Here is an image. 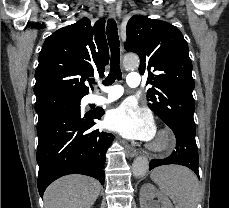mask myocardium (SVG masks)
Wrapping results in <instances>:
<instances>
[{
	"label": "myocardium",
	"mask_w": 229,
	"mask_h": 208,
	"mask_svg": "<svg viewBox=\"0 0 229 208\" xmlns=\"http://www.w3.org/2000/svg\"><path fill=\"white\" fill-rule=\"evenodd\" d=\"M158 137H163L164 142H151L148 145V149L154 155H163L170 152L176 145V136L174 132L169 128H161L157 131L156 135Z\"/></svg>",
	"instance_id": "f54148a6"
}]
</instances>
